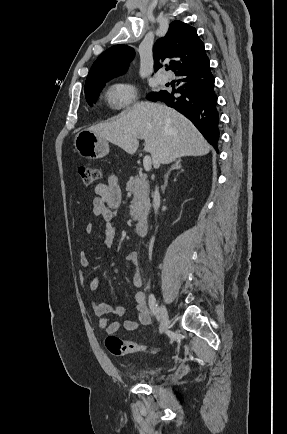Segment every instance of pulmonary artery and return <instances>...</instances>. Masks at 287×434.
Returning a JSON list of instances; mask_svg holds the SVG:
<instances>
[{
    "mask_svg": "<svg viewBox=\"0 0 287 434\" xmlns=\"http://www.w3.org/2000/svg\"><path fill=\"white\" fill-rule=\"evenodd\" d=\"M169 80H170L169 75H167V74L164 73V72L158 74V76H157V81H158L160 84H165V83H167Z\"/></svg>",
    "mask_w": 287,
    "mask_h": 434,
    "instance_id": "pulmonary-artery-1",
    "label": "pulmonary artery"
}]
</instances>
